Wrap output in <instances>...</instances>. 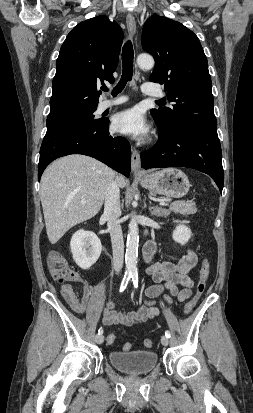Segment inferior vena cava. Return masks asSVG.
<instances>
[{
	"instance_id": "inferior-vena-cava-1",
	"label": "inferior vena cava",
	"mask_w": 253,
	"mask_h": 413,
	"mask_svg": "<svg viewBox=\"0 0 253 413\" xmlns=\"http://www.w3.org/2000/svg\"><path fill=\"white\" fill-rule=\"evenodd\" d=\"M119 187L117 180H112L107 187L104 202V216L107 218L112 242L113 267L117 273L122 269L124 262V241L119 221L121 215Z\"/></svg>"
}]
</instances>
